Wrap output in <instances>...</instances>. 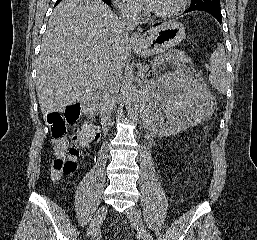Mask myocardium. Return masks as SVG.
<instances>
[{
  "label": "myocardium",
  "mask_w": 257,
  "mask_h": 240,
  "mask_svg": "<svg viewBox=\"0 0 257 240\" xmlns=\"http://www.w3.org/2000/svg\"><path fill=\"white\" fill-rule=\"evenodd\" d=\"M186 2L187 0H176L175 5L171 9L163 12L153 11L152 15L157 19H168L174 17L185 8Z\"/></svg>",
  "instance_id": "1"
}]
</instances>
